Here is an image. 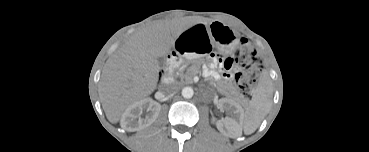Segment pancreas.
I'll return each mask as SVG.
<instances>
[{"instance_id":"obj_1","label":"pancreas","mask_w":369,"mask_h":152,"mask_svg":"<svg viewBox=\"0 0 369 152\" xmlns=\"http://www.w3.org/2000/svg\"><path fill=\"white\" fill-rule=\"evenodd\" d=\"M199 71V68H193V73L191 74H196V72ZM189 72L187 73V75H185V78L186 79H189ZM221 93H223L228 99L232 100V101H235V100H239L240 99V94L235 91L234 89H231L229 92L226 91V90H221Z\"/></svg>"}]
</instances>
